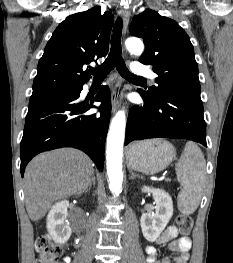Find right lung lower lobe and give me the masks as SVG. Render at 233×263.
Returning <instances> with one entry per match:
<instances>
[{
    "label": "right lung lower lobe",
    "mask_w": 233,
    "mask_h": 263,
    "mask_svg": "<svg viewBox=\"0 0 233 263\" xmlns=\"http://www.w3.org/2000/svg\"><path fill=\"white\" fill-rule=\"evenodd\" d=\"M83 86L31 97L21 140V176L37 154L60 147L84 151L103 170L105 139L111 115L109 87L103 86L88 104L80 102ZM101 102L99 113L85 114Z\"/></svg>",
    "instance_id": "98d812e1"
}]
</instances>
